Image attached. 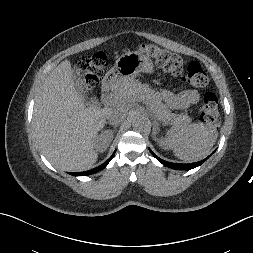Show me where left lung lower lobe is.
I'll return each instance as SVG.
<instances>
[{
  "label": "left lung lower lobe",
  "instance_id": "left-lung-lower-lobe-1",
  "mask_svg": "<svg viewBox=\"0 0 253 253\" xmlns=\"http://www.w3.org/2000/svg\"><path fill=\"white\" fill-rule=\"evenodd\" d=\"M150 150V149H149ZM150 152L152 153V155L157 159L159 160L163 165L167 166V167H170V168H173V169H176V170H190V169H193L197 166H200L201 164H203L210 156H208L207 158H205L204 160H201L199 162H196V163H190V164H177V163H170V162H167V161H164L162 159H160L159 157H157L151 150Z\"/></svg>",
  "mask_w": 253,
  "mask_h": 253
}]
</instances>
